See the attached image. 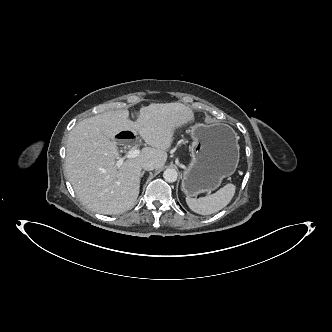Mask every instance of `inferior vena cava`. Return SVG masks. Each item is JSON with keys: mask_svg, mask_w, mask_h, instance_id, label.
<instances>
[{"mask_svg": "<svg viewBox=\"0 0 332 332\" xmlns=\"http://www.w3.org/2000/svg\"><path fill=\"white\" fill-rule=\"evenodd\" d=\"M142 168L144 170H147V171H151L153 169L156 168V164L154 161L152 160H148V161H145L143 164H142Z\"/></svg>", "mask_w": 332, "mask_h": 332, "instance_id": "602c4592", "label": "inferior vena cava"}]
</instances>
